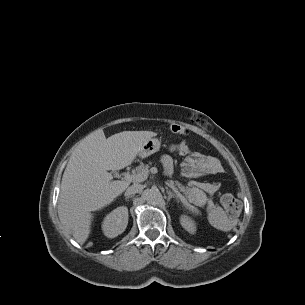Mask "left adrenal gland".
Masks as SVG:
<instances>
[{
	"label": "left adrenal gland",
	"mask_w": 305,
	"mask_h": 305,
	"mask_svg": "<svg viewBox=\"0 0 305 305\" xmlns=\"http://www.w3.org/2000/svg\"><path fill=\"white\" fill-rule=\"evenodd\" d=\"M169 186V185H168ZM171 187V186H170ZM174 191H175V188L171 187ZM167 194H168V200H170L171 198H176L178 199V197L173 193L171 192L170 190H167ZM179 202V201H178Z\"/></svg>",
	"instance_id": "1"
}]
</instances>
